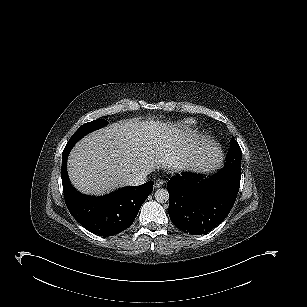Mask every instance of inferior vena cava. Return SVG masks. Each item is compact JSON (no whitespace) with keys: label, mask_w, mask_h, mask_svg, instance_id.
<instances>
[{"label":"inferior vena cava","mask_w":307,"mask_h":307,"mask_svg":"<svg viewBox=\"0 0 307 307\" xmlns=\"http://www.w3.org/2000/svg\"><path fill=\"white\" fill-rule=\"evenodd\" d=\"M149 172H142L136 176H133L129 182H128V186H138V185H142L147 181Z\"/></svg>","instance_id":"1"}]
</instances>
